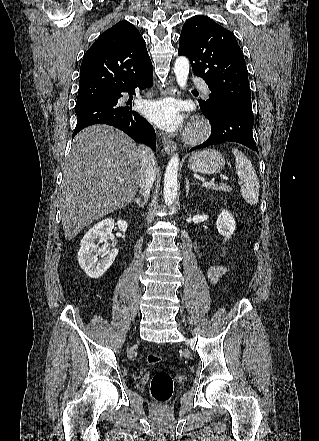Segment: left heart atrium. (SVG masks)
Here are the masks:
<instances>
[{
	"label": "left heart atrium",
	"instance_id": "obj_1",
	"mask_svg": "<svg viewBox=\"0 0 319 441\" xmlns=\"http://www.w3.org/2000/svg\"><path fill=\"white\" fill-rule=\"evenodd\" d=\"M143 112L160 127L174 129L180 125L178 109L170 101H149L143 106Z\"/></svg>",
	"mask_w": 319,
	"mask_h": 441
}]
</instances>
